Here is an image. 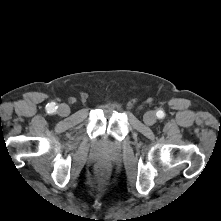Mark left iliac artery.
Wrapping results in <instances>:
<instances>
[{"instance_id": "left-iliac-artery-1", "label": "left iliac artery", "mask_w": 221, "mask_h": 221, "mask_svg": "<svg viewBox=\"0 0 221 221\" xmlns=\"http://www.w3.org/2000/svg\"><path fill=\"white\" fill-rule=\"evenodd\" d=\"M156 115H157L158 118L161 119V118L164 117L165 113H164L162 110H159V111L156 113Z\"/></svg>"}]
</instances>
